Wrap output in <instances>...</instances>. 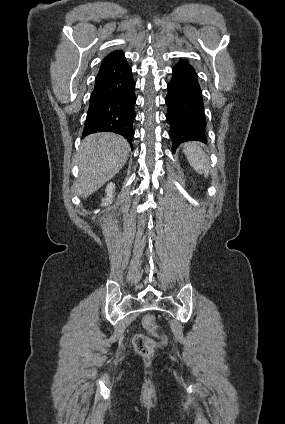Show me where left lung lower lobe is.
<instances>
[{
	"mask_svg": "<svg viewBox=\"0 0 285 424\" xmlns=\"http://www.w3.org/2000/svg\"><path fill=\"white\" fill-rule=\"evenodd\" d=\"M167 120L170 122V138L173 152L186 141H207L206 120L202 90L195 69L187 60H180L172 69V79L167 84Z\"/></svg>",
	"mask_w": 285,
	"mask_h": 424,
	"instance_id": "obj_1",
	"label": "left lung lower lobe"
}]
</instances>
